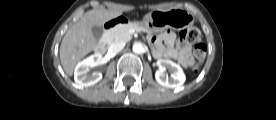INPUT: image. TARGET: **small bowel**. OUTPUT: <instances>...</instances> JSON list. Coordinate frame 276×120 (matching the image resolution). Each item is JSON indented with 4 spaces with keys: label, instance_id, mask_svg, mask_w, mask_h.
Here are the masks:
<instances>
[{
    "label": "small bowel",
    "instance_id": "small-bowel-1",
    "mask_svg": "<svg viewBox=\"0 0 276 120\" xmlns=\"http://www.w3.org/2000/svg\"><path fill=\"white\" fill-rule=\"evenodd\" d=\"M149 41L154 46V56L157 58L176 59L183 67L192 65L190 46L171 31H166L159 36H150Z\"/></svg>",
    "mask_w": 276,
    "mask_h": 120
}]
</instances>
